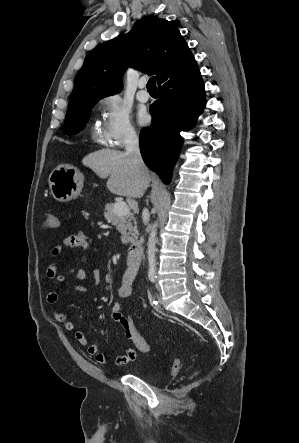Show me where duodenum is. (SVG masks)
<instances>
[{
  "label": "duodenum",
  "mask_w": 299,
  "mask_h": 443,
  "mask_svg": "<svg viewBox=\"0 0 299 443\" xmlns=\"http://www.w3.org/2000/svg\"><path fill=\"white\" fill-rule=\"evenodd\" d=\"M143 257V245L141 241L133 242L127 250V263L130 265L140 264Z\"/></svg>",
  "instance_id": "1"
}]
</instances>
